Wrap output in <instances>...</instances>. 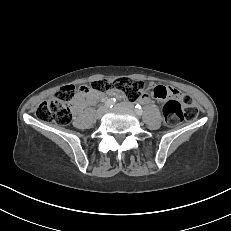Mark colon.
<instances>
[{
  "label": "colon",
  "instance_id": "obj_1",
  "mask_svg": "<svg viewBox=\"0 0 231 231\" xmlns=\"http://www.w3.org/2000/svg\"><path fill=\"white\" fill-rule=\"evenodd\" d=\"M91 89L96 93L118 91L130 100H137L147 91L141 80L130 78H115L95 81ZM78 95V89L73 85L60 88L52 97L41 103L36 109V117L43 122H54L67 125L72 119L71 103ZM165 123L169 126L179 124L184 120L193 121L199 115V110L190 95L183 94L179 99L169 100L163 107Z\"/></svg>",
  "mask_w": 231,
  "mask_h": 231
}]
</instances>
